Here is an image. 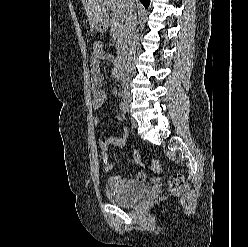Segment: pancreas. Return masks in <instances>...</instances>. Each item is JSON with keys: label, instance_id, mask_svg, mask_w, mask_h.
<instances>
[{"label": "pancreas", "instance_id": "pancreas-1", "mask_svg": "<svg viewBox=\"0 0 248 247\" xmlns=\"http://www.w3.org/2000/svg\"><path fill=\"white\" fill-rule=\"evenodd\" d=\"M110 33L114 41H116L117 54L123 55L127 43V28L123 16H112L110 19Z\"/></svg>", "mask_w": 248, "mask_h": 247}]
</instances>
